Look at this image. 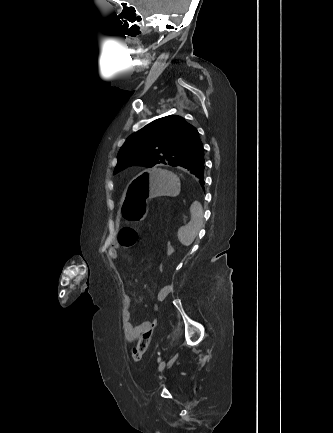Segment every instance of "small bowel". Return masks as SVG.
Listing matches in <instances>:
<instances>
[{
  "instance_id": "obj_1",
  "label": "small bowel",
  "mask_w": 333,
  "mask_h": 433,
  "mask_svg": "<svg viewBox=\"0 0 333 433\" xmlns=\"http://www.w3.org/2000/svg\"><path fill=\"white\" fill-rule=\"evenodd\" d=\"M108 256L112 260L118 258V251L115 245L111 246L108 250ZM171 292V287L169 285L162 286L156 295V304L154 305V311H158V305L163 302ZM123 310H122V322H123V332L125 339L128 342H134L147 330H150V321L142 322L138 325H134L131 321L132 313V298L128 294H124L122 298Z\"/></svg>"
}]
</instances>
